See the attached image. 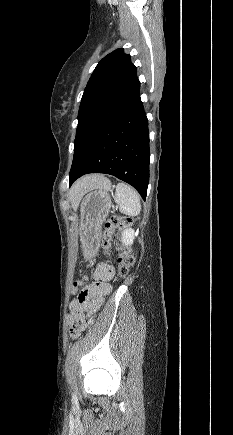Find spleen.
<instances>
[{
  "label": "spleen",
  "mask_w": 233,
  "mask_h": 435,
  "mask_svg": "<svg viewBox=\"0 0 233 435\" xmlns=\"http://www.w3.org/2000/svg\"><path fill=\"white\" fill-rule=\"evenodd\" d=\"M115 202L119 205V211L125 215L137 216L141 211L140 195L125 183L116 186Z\"/></svg>",
  "instance_id": "obj_1"
}]
</instances>
